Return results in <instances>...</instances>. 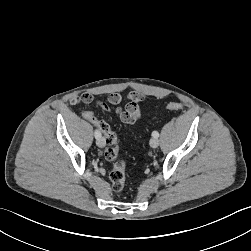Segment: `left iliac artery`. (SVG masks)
<instances>
[{"label": "left iliac artery", "mask_w": 251, "mask_h": 251, "mask_svg": "<svg viewBox=\"0 0 251 251\" xmlns=\"http://www.w3.org/2000/svg\"><path fill=\"white\" fill-rule=\"evenodd\" d=\"M152 136H153L154 138H158V137H159V133H158L157 131H154V132L152 133Z\"/></svg>", "instance_id": "obj_1"}]
</instances>
